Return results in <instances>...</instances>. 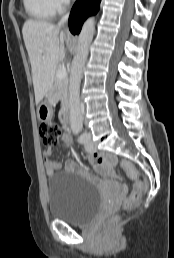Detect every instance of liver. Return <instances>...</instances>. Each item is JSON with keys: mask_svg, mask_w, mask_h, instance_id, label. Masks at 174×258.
<instances>
[{"mask_svg": "<svg viewBox=\"0 0 174 258\" xmlns=\"http://www.w3.org/2000/svg\"><path fill=\"white\" fill-rule=\"evenodd\" d=\"M22 34L31 63L35 102L38 105L51 90L57 65L65 58V33L60 26L30 19L24 23Z\"/></svg>", "mask_w": 174, "mask_h": 258, "instance_id": "obj_1", "label": "liver"}]
</instances>
